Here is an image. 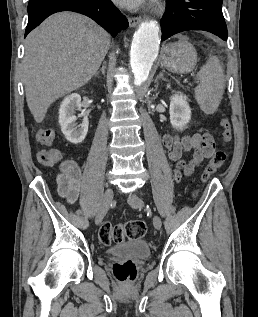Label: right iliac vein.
Returning <instances> with one entry per match:
<instances>
[{
  "mask_svg": "<svg viewBox=\"0 0 258 317\" xmlns=\"http://www.w3.org/2000/svg\"><path fill=\"white\" fill-rule=\"evenodd\" d=\"M114 194L113 189L111 187H108L102 197L101 204L98 207V210L95 213V221L96 223L103 222V217L107 215L108 210L111 207V203L113 200Z\"/></svg>",
  "mask_w": 258,
  "mask_h": 317,
  "instance_id": "right-iliac-vein-1",
  "label": "right iliac vein"
}]
</instances>
